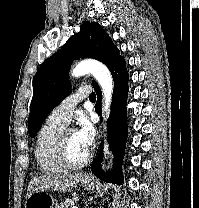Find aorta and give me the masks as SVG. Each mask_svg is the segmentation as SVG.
<instances>
[{
	"mask_svg": "<svg viewBox=\"0 0 199 208\" xmlns=\"http://www.w3.org/2000/svg\"><path fill=\"white\" fill-rule=\"evenodd\" d=\"M91 73L99 83L103 93V115L105 118L109 116L110 105L113 93V79L109 69L101 62L97 60H84L77 64L72 69L73 77L84 76ZM105 148V153H106Z\"/></svg>",
	"mask_w": 199,
	"mask_h": 208,
	"instance_id": "762f6f07",
	"label": "aorta"
}]
</instances>
